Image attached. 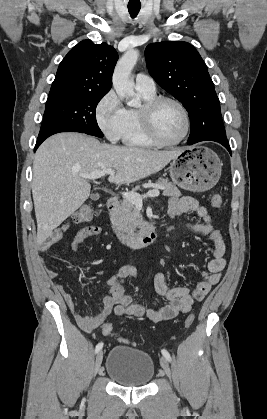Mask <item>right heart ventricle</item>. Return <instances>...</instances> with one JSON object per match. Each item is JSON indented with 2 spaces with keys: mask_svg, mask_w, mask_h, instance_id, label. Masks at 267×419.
I'll return each instance as SVG.
<instances>
[{
  "mask_svg": "<svg viewBox=\"0 0 267 419\" xmlns=\"http://www.w3.org/2000/svg\"><path fill=\"white\" fill-rule=\"evenodd\" d=\"M144 102L156 97V93H147L139 91ZM122 141L129 147L149 148L155 144L145 134L141 118L140 108H127L125 109V125L122 134Z\"/></svg>",
  "mask_w": 267,
  "mask_h": 419,
  "instance_id": "e07e8e85",
  "label": "right heart ventricle"
}]
</instances>
